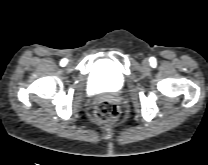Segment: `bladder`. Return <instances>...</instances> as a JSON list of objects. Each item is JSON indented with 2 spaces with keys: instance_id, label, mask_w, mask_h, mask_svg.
<instances>
[{
  "instance_id": "1",
  "label": "bladder",
  "mask_w": 208,
  "mask_h": 165,
  "mask_svg": "<svg viewBox=\"0 0 208 165\" xmlns=\"http://www.w3.org/2000/svg\"><path fill=\"white\" fill-rule=\"evenodd\" d=\"M88 85L93 92H119L125 85V77L112 61L104 59L93 67Z\"/></svg>"
}]
</instances>
